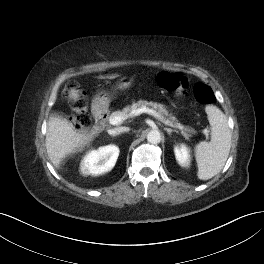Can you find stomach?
<instances>
[{
    "instance_id": "1",
    "label": "stomach",
    "mask_w": 264,
    "mask_h": 264,
    "mask_svg": "<svg viewBox=\"0 0 264 264\" xmlns=\"http://www.w3.org/2000/svg\"><path fill=\"white\" fill-rule=\"evenodd\" d=\"M132 85V79L122 78L117 84L118 89H127ZM112 94L106 91H101L95 96V102L101 106H107L111 101Z\"/></svg>"
}]
</instances>
